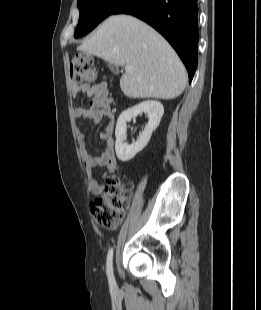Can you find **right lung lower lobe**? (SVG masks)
<instances>
[{"mask_svg": "<svg viewBox=\"0 0 261 310\" xmlns=\"http://www.w3.org/2000/svg\"><path fill=\"white\" fill-rule=\"evenodd\" d=\"M122 13L133 15L160 32L185 64L191 82L198 63L197 0H126L113 12Z\"/></svg>", "mask_w": 261, "mask_h": 310, "instance_id": "right-lung-lower-lobe-1", "label": "right lung lower lobe"}]
</instances>
